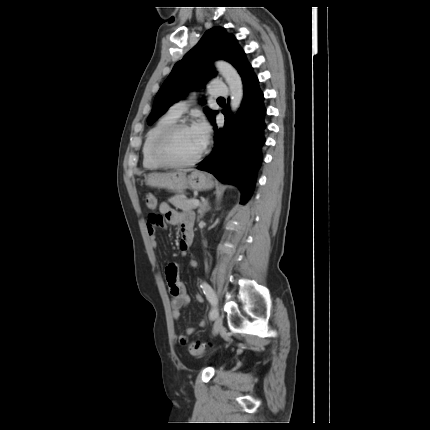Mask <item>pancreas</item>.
Segmentation results:
<instances>
[{"mask_svg":"<svg viewBox=\"0 0 430 430\" xmlns=\"http://www.w3.org/2000/svg\"><path fill=\"white\" fill-rule=\"evenodd\" d=\"M193 199H187L184 194H177L168 199V201L175 206L176 208H180L183 210H192L196 208V206L192 203Z\"/></svg>","mask_w":430,"mask_h":430,"instance_id":"pancreas-1","label":"pancreas"}]
</instances>
